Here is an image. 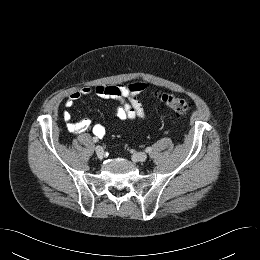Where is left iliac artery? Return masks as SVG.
Masks as SVG:
<instances>
[{
    "label": "left iliac artery",
    "instance_id": "obj_1",
    "mask_svg": "<svg viewBox=\"0 0 260 260\" xmlns=\"http://www.w3.org/2000/svg\"><path fill=\"white\" fill-rule=\"evenodd\" d=\"M152 151V148L151 147H147L146 149H145V152H147V153H150Z\"/></svg>",
    "mask_w": 260,
    "mask_h": 260
}]
</instances>
